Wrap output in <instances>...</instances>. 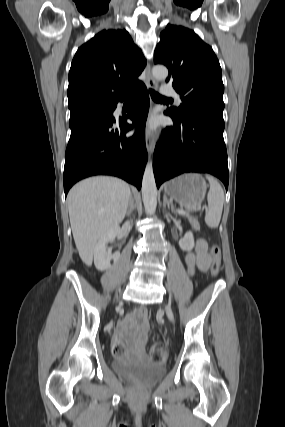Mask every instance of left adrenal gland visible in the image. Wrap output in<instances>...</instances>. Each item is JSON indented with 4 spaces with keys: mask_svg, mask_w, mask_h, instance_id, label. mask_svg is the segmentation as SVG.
I'll return each mask as SVG.
<instances>
[{
    "mask_svg": "<svg viewBox=\"0 0 285 427\" xmlns=\"http://www.w3.org/2000/svg\"><path fill=\"white\" fill-rule=\"evenodd\" d=\"M163 206H164V208L167 206L169 209H171V211H172V212H175V211H174V207H173V205H172V204H171V202L167 199L166 195H164Z\"/></svg>",
    "mask_w": 285,
    "mask_h": 427,
    "instance_id": "1",
    "label": "left adrenal gland"
}]
</instances>
